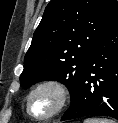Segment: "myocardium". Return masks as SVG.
Here are the masks:
<instances>
[{
    "instance_id": "1",
    "label": "myocardium",
    "mask_w": 118,
    "mask_h": 123,
    "mask_svg": "<svg viewBox=\"0 0 118 123\" xmlns=\"http://www.w3.org/2000/svg\"><path fill=\"white\" fill-rule=\"evenodd\" d=\"M42 90H52L57 96V102L54 109L47 115L38 116L35 115L31 110V100L35 94ZM69 99V90L67 86L58 79H46L40 81L33 86L26 96V111L29 116L36 120H49L57 116L66 106Z\"/></svg>"
}]
</instances>
